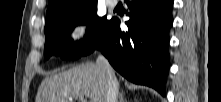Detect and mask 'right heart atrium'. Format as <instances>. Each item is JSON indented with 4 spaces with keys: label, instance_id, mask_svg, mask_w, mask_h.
<instances>
[{
    "label": "right heart atrium",
    "instance_id": "1",
    "mask_svg": "<svg viewBox=\"0 0 221 102\" xmlns=\"http://www.w3.org/2000/svg\"><path fill=\"white\" fill-rule=\"evenodd\" d=\"M91 32L90 22L83 18H78L72 22L68 30V40L75 49L82 48L89 40Z\"/></svg>",
    "mask_w": 221,
    "mask_h": 102
}]
</instances>
